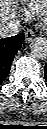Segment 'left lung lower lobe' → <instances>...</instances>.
<instances>
[{"label":"left lung lower lobe","mask_w":47,"mask_h":129,"mask_svg":"<svg viewBox=\"0 0 47 129\" xmlns=\"http://www.w3.org/2000/svg\"><path fill=\"white\" fill-rule=\"evenodd\" d=\"M44 71H45V77H46V80H47V64H46V66L44 68Z\"/></svg>","instance_id":"obj_1"}]
</instances>
